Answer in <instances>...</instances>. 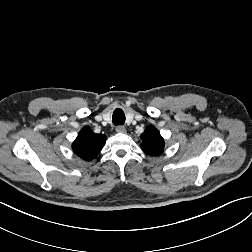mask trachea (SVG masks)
<instances>
[{"label":"trachea","mask_w":252,"mask_h":252,"mask_svg":"<svg viewBox=\"0 0 252 252\" xmlns=\"http://www.w3.org/2000/svg\"><path fill=\"white\" fill-rule=\"evenodd\" d=\"M112 122L114 125H123L125 123V115L121 109H116L112 116Z\"/></svg>","instance_id":"1"}]
</instances>
